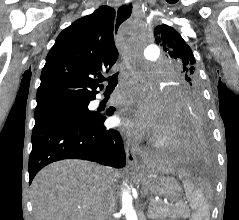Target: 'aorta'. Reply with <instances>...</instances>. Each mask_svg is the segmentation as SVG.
Listing matches in <instances>:
<instances>
[{
	"label": "aorta",
	"mask_w": 239,
	"mask_h": 220,
	"mask_svg": "<svg viewBox=\"0 0 239 220\" xmlns=\"http://www.w3.org/2000/svg\"><path fill=\"white\" fill-rule=\"evenodd\" d=\"M123 40H144L142 33H125ZM124 46H144L146 52V61H157L158 51L157 48H153L154 45H124ZM122 211L125 214L126 220H138L136 211L133 207V199L127 190L122 191L121 195Z\"/></svg>",
	"instance_id": "762f6f07"
}]
</instances>
